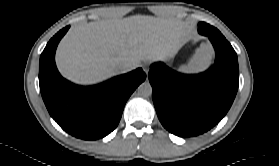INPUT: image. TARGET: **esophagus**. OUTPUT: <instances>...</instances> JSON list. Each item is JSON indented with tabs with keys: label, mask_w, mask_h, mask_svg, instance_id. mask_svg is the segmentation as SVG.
<instances>
[{
	"label": "esophagus",
	"mask_w": 279,
	"mask_h": 166,
	"mask_svg": "<svg viewBox=\"0 0 279 166\" xmlns=\"http://www.w3.org/2000/svg\"><path fill=\"white\" fill-rule=\"evenodd\" d=\"M143 70H144V72L146 73V75L148 76V73H149V66H148V65H144V66H143Z\"/></svg>",
	"instance_id": "obj_1"
}]
</instances>
